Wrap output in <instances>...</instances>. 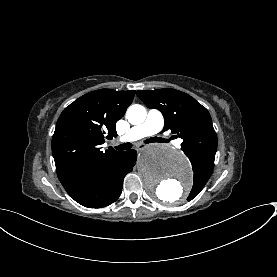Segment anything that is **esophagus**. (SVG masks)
I'll use <instances>...</instances> for the list:
<instances>
[{
    "mask_svg": "<svg viewBox=\"0 0 277 277\" xmlns=\"http://www.w3.org/2000/svg\"><path fill=\"white\" fill-rule=\"evenodd\" d=\"M143 148H145V144L140 143L137 145V149H143Z\"/></svg>",
    "mask_w": 277,
    "mask_h": 277,
    "instance_id": "1",
    "label": "esophagus"
}]
</instances>
